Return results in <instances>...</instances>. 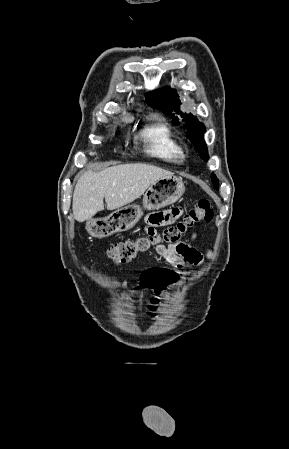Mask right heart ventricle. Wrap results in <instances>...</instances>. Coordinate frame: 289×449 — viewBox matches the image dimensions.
Wrapping results in <instances>:
<instances>
[{
    "label": "right heart ventricle",
    "mask_w": 289,
    "mask_h": 449,
    "mask_svg": "<svg viewBox=\"0 0 289 449\" xmlns=\"http://www.w3.org/2000/svg\"><path fill=\"white\" fill-rule=\"evenodd\" d=\"M146 143V149L154 157L172 163H179L183 158V149L175 140L167 123L159 117H153L140 131Z\"/></svg>",
    "instance_id": "1"
}]
</instances>
